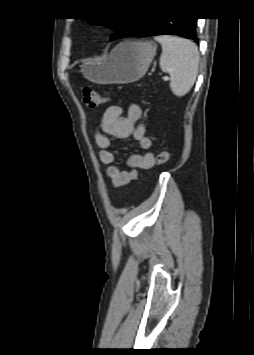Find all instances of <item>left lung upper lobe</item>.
<instances>
[{"instance_id": "5c2ea615", "label": "left lung upper lobe", "mask_w": 254, "mask_h": 355, "mask_svg": "<svg viewBox=\"0 0 254 355\" xmlns=\"http://www.w3.org/2000/svg\"><path fill=\"white\" fill-rule=\"evenodd\" d=\"M88 20H90L91 23L111 28L115 32L111 40H115L120 38L131 28L135 18H97Z\"/></svg>"}]
</instances>
